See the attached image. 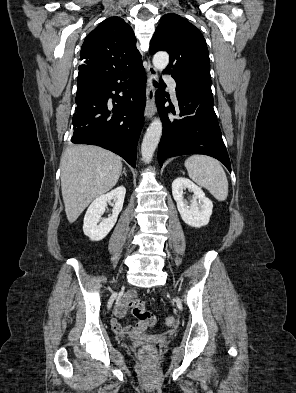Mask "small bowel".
<instances>
[{
	"label": "small bowel",
	"mask_w": 296,
	"mask_h": 393,
	"mask_svg": "<svg viewBox=\"0 0 296 393\" xmlns=\"http://www.w3.org/2000/svg\"><path fill=\"white\" fill-rule=\"evenodd\" d=\"M138 299L136 291H129L126 294H124L121 299L119 300L115 310H114V318L111 321L113 330L120 336H126V335H142L145 330L147 325L144 322H138L137 324L134 325H121L118 322V318H121L124 316L126 312V308L124 307V302L129 301V300H135Z\"/></svg>",
	"instance_id": "c3829d8e"
}]
</instances>
